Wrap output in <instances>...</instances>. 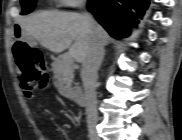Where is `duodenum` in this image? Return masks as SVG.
I'll return each mask as SVG.
<instances>
[{"label":"duodenum","mask_w":182,"mask_h":140,"mask_svg":"<svg viewBox=\"0 0 182 140\" xmlns=\"http://www.w3.org/2000/svg\"><path fill=\"white\" fill-rule=\"evenodd\" d=\"M71 99L77 105H83L85 102L82 92L79 89H75V88L72 89V91H71Z\"/></svg>","instance_id":"410a0bca"}]
</instances>
